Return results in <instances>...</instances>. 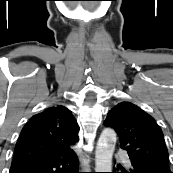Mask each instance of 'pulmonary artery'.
Segmentation results:
<instances>
[{"instance_id":"pulmonary-artery-1","label":"pulmonary artery","mask_w":173,"mask_h":173,"mask_svg":"<svg viewBox=\"0 0 173 173\" xmlns=\"http://www.w3.org/2000/svg\"><path fill=\"white\" fill-rule=\"evenodd\" d=\"M116 155H117L118 157L123 158V161H124V163H125L126 165H129V164H130V162H129L128 159L126 158L124 152L118 151V152L116 153Z\"/></svg>"}]
</instances>
